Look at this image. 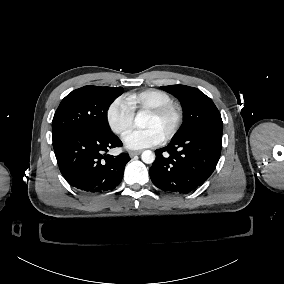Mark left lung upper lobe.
I'll list each match as a JSON object with an SVG mask.
<instances>
[{
	"label": "left lung upper lobe",
	"instance_id": "left-lung-upper-lobe-1",
	"mask_svg": "<svg viewBox=\"0 0 284 284\" xmlns=\"http://www.w3.org/2000/svg\"><path fill=\"white\" fill-rule=\"evenodd\" d=\"M161 89L176 96L184 109V122L174 137L200 130L222 132L223 122L213 101L199 89L186 85L162 86Z\"/></svg>",
	"mask_w": 284,
	"mask_h": 284
}]
</instances>
